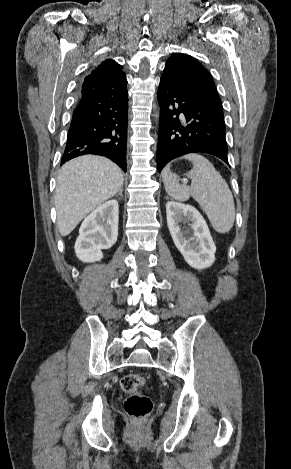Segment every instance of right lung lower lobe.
<instances>
[{
	"label": "right lung lower lobe",
	"mask_w": 291,
	"mask_h": 469,
	"mask_svg": "<svg viewBox=\"0 0 291 469\" xmlns=\"http://www.w3.org/2000/svg\"><path fill=\"white\" fill-rule=\"evenodd\" d=\"M128 92L102 89L79 97L61 164L72 158L105 156L126 172Z\"/></svg>",
	"instance_id": "98d812e1"
}]
</instances>
